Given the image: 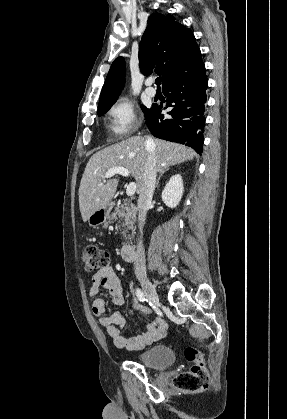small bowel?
Returning <instances> with one entry per match:
<instances>
[{
  "label": "small bowel",
  "mask_w": 287,
  "mask_h": 419,
  "mask_svg": "<svg viewBox=\"0 0 287 419\" xmlns=\"http://www.w3.org/2000/svg\"><path fill=\"white\" fill-rule=\"evenodd\" d=\"M100 290H105L111 296L112 302L120 306L124 299L122 295V284L113 266H107L98 270L91 279L90 296L94 298L92 312L98 317L101 325L112 339L115 347L132 351L142 350L153 342L163 338L167 332L166 321L158 317L149 323L146 330L134 337L126 338L122 335V328L125 324V317L121 312H114L106 316V302L101 298H95ZM130 293L133 295V285H129Z\"/></svg>",
  "instance_id": "small-bowel-1"
}]
</instances>
